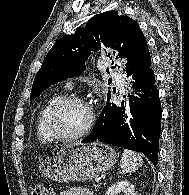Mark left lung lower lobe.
I'll list each match as a JSON object with an SVG mask.
<instances>
[{
	"label": "left lung lower lobe",
	"instance_id": "obj_1",
	"mask_svg": "<svg viewBox=\"0 0 189 195\" xmlns=\"http://www.w3.org/2000/svg\"><path fill=\"white\" fill-rule=\"evenodd\" d=\"M131 95L128 102L107 103L93 132L82 142L101 141L142 152L154 166L158 162L161 103L155 85L151 58L128 73Z\"/></svg>",
	"mask_w": 189,
	"mask_h": 195
}]
</instances>
